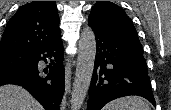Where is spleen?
Returning <instances> with one entry per match:
<instances>
[{"instance_id":"3e777b00","label":"spleen","mask_w":171,"mask_h":110,"mask_svg":"<svg viewBox=\"0 0 171 110\" xmlns=\"http://www.w3.org/2000/svg\"><path fill=\"white\" fill-rule=\"evenodd\" d=\"M103 110H151L148 103L138 96H126L108 103Z\"/></svg>"}]
</instances>
